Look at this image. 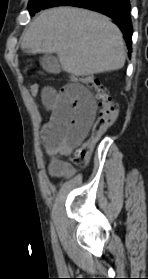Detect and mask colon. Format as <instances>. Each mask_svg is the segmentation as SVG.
Masks as SVG:
<instances>
[{
	"label": "colon",
	"mask_w": 148,
	"mask_h": 279,
	"mask_svg": "<svg viewBox=\"0 0 148 279\" xmlns=\"http://www.w3.org/2000/svg\"><path fill=\"white\" fill-rule=\"evenodd\" d=\"M74 81L93 89L98 106V115L93 124L90 140L78 151L74 158L76 165L85 166L90 159L95 141L116 122L118 109L107 89L97 77L89 75L75 78ZM28 90L34 96L41 93V87L38 83L29 84Z\"/></svg>",
	"instance_id": "1"
}]
</instances>
